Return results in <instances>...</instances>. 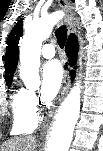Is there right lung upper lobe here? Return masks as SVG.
Segmentation results:
<instances>
[{"label": "right lung upper lobe", "mask_w": 103, "mask_h": 151, "mask_svg": "<svg viewBox=\"0 0 103 151\" xmlns=\"http://www.w3.org/2000/svg\"><path fill=\"white\" fill-rule=\"evenodd\" d=\"M23 32V22L18 21L16 26L12 29L7 39V50L5 54V79L12 80L13 74L16 70L18 61V43Z\"/></svg>", "instance_id": "right-lung-upper-lobe-1"}]
</instances>
